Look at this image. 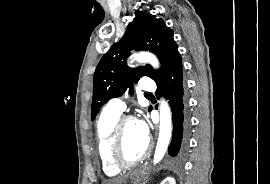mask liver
I'll return each instance as SVG.
<instances>
[{
	"mask_svg": "<svg viewBox=\"0 0 270 184\" xmlns=\"http://www.w3.org/2000/svg\"><path fill=\"white\" fill-rule=\"evenodd\" d=\"M123 180H120V181H110V182H107V184H122Z\"/></svg>",
	"mask_w": 270,
	"mask_h": 184,
	"instance_id": "6515ba94",
	"label": "liver"
}]
</instances>
